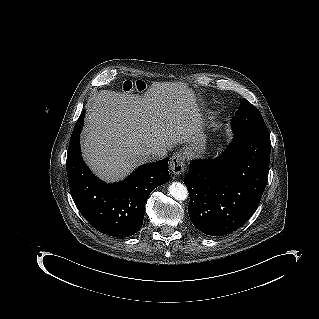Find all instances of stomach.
<instances>
[{
  "label": "stomach",
  "instance_id": "0dacf381",
  "mask_svg": "<svg viewBox=\"0 0 319 319\" xmlns=\"http://www.w3.org/2000/svg\"><path fill=\"white\" fill-rule=\"evenodd\" d=\"M206 136L202 132L196 133L189 145L185 148V154L189 158L199 157L205 154Z\"/></svg>",
  "mask_w": 319,
  "mask_h": 319
}]
</instances>
